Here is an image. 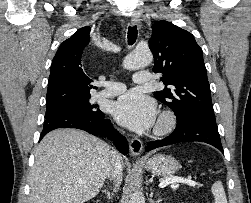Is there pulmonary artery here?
<instances>
[{
  "label": "pulmonary artery",
  "mask_w": 251,
  "mask_h": 203,
  "mask_svg": "<svg viewBox=\"0 0 251 203\" xmlns=\"http://www.w3.org/2000/svg\"><path fill=\"white\" fill-rule=\"evenodd\" d=\"M133 81L136 84L148 83L150 81V74L148 72H138L134 74ZM126 90L125 84L121 82L111 81L106 84V89L100 91L95 96L97 99L114 97Z\"/></svg>",
  "instance_id": "1"
}]
</instances>
